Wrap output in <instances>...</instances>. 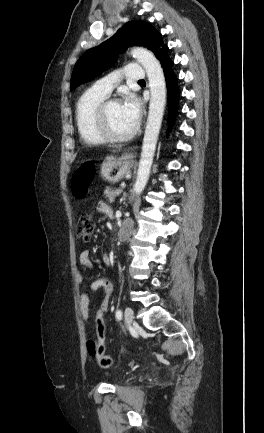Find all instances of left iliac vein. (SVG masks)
Here are the masks:
<instances>
[{
	"label": "left iliac vein",
	"mask_w": 264,
	"mask_h": 433,
	"mask_svg": "<svg viewBox=\"0 0 264 433\" xmlns=\"http://www.w3.org/2000/svg\"><path fill=\"white\" fill-rule=\"evenodd\" d=\"M133 323V310L130 307L125 309V324L130 327Z\"/></svg>",
	"instance_id": "obj_1"
}]
</instances>
